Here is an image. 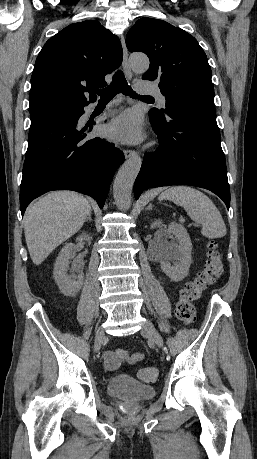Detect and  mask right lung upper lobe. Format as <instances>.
<instances>
[{"mask_svg":"<svg viewBox=\"0 0 257 459\" xmlns=\"http://www.w3.org/2000/svg\"><path fill=\"white\" fill-rule=\"evenodd\" d=\"M123 51L117 36L98 21L73 23L40 51L31 76L30 114L89 104L105 87V75L118 68Z\"/></svg>","mask_w":257,"mask_h":459,"instance_id":"obj_1","label":"right lung upper lobe"}]
</instances>
